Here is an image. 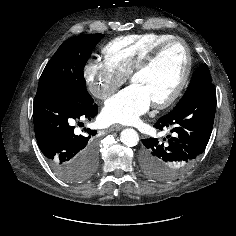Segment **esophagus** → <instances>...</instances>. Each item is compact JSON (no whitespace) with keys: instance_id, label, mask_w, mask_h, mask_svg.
<instances>
[{"instance_id":"1","label":"esophagus","mask_w":236,"mask_h":236,"mask_svg":"<svg viewBox=\"0 0 236 236\" xmlns=\"http://www.w3.org/2000/svg\"><path fill=\"white\" fill-rule=\"evenodd\" d=\"M122 128H123L122 125L114 124V125L110 126L109 131H119V130H121Z\"/></svg>"}]
</instances>
